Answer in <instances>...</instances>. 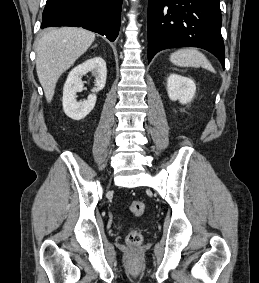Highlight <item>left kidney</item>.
<instances>
[{
    "mask_svg": "<svg viewBox=\"0 0 259 283\" xmlns=\"http://www.w3.org/2000/svg\"><path fill=\"white\" fill-rule=\"evenodd\" d=\"M167 92L172 101L178 100L180 103L186 104L192 101L196 92V85L188 77L171 74L167 78Z\"/></svg>",
    "mask_w": 259,
    "mask_h": 283,
    "instance_id": "left-kidney-1",
    "label": "left kidney"
}]
</instances>
